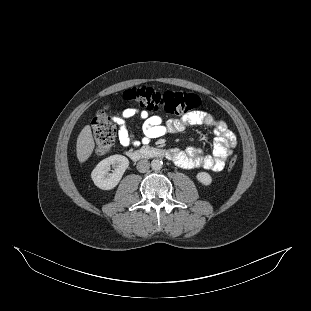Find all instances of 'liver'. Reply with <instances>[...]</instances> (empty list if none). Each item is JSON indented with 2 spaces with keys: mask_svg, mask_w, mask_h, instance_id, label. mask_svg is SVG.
I'll list each match as a JSON object with an SVG mask.
<instances>
[{
  "mask_svg": "<svg viewBox=\"0 0 311 311\" xmlns=\"http://www.w3.org/2000/svg\"><path fill=\"white\" fill-rule=\"evenodd\" d=\"M94 148L90 126L84 127L77 140V156L83 162L89 158Z\"/></svg>",
  "mask_w": 311,
  "mask_h": 311,
  "instance_id": "1",
  "label": "liver"
}]
</instances>
